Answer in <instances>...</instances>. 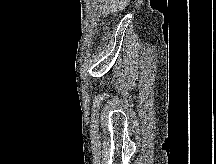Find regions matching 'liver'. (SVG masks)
Wrapping results in <instances>:
<instances>
[{
    "label": "liver",
    "instance_id": "1",
    "mask_svg": "<svg viewBox=\"0 0 216 164\" xmlns=\"http://www.w3.org/2000/svg\"><path fill=\"white\" fill-rule=\"evenodd\" d=\"M103 2V13L109 14L124 10L130 0H103Z\"/></svg>",
    "mask_w": 216,
    "mask_h": 164
}]
</instances>
